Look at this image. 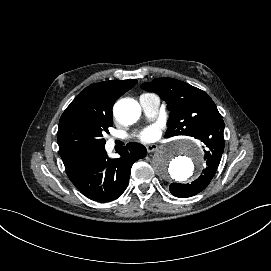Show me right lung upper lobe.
<instances>
[{
  "instance_id": "cb5924a9",
  "label": "right lung upper lobe",
  "mask_w": 271,
  "mask_h": 271,
  "mask_svg": "<svg viewBox=\"0 0 271 271\" xmlns=\"http://www.w3.org/2000/svg\"><path fill=\"white\" fill-rule=\"evenodd\" d=\"M137 80L105 81L86 87L67 107L66 111L78 106H89L104 115H112L114 102L130 90ZM65 159V158H64Z\"/></svg>"
}]
</instances>
